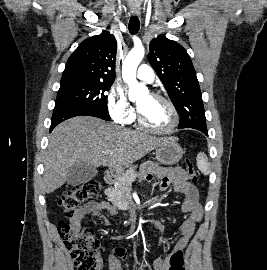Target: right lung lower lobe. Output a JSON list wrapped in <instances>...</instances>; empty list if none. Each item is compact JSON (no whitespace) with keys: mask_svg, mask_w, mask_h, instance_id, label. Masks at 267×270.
I'll use <instances>...</instances> for the list:
<instances>
[{"mask_svg":"<svg viewBox=\"0 0 267 270\" xmlns=\"http://www.w3.org/2000/svg\"><path fill=\"white\" fill-rule=\"evenodd\" d=\"M75 116H93L98 117L106 121H110L108 111L101 110H84L76 111L72 109H56L54 108L53 116L51 120L50 132L62 121L75 117Z\"/></svg>","mask_w":267,"mask_h":270,"instance_id":"1","label":"right lung lower lobe"}]
</instances>
